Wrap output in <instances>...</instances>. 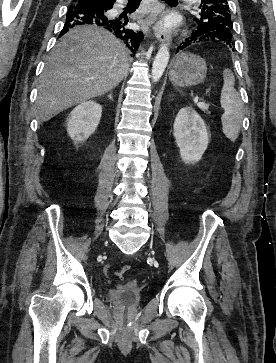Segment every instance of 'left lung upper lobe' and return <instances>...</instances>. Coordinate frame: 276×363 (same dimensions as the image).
Listing matches in <instances>:
<instances>
[{"mask_svg":"<svg viewBox=\"0 0 276 363\" xmlns=\"http://www.w3.org/2000/svg\"><path fill=\"white\" fill-rule=\"evenodd\" d=\"M199 18H195V29H202L211 40L230 45L232 40L231 15L227 0H202Z\"/></svg>","mask_w":276,"mask_h":363,"instance_id":"5c2ea615","label":"left lung upper lobe"}]
</instances>
